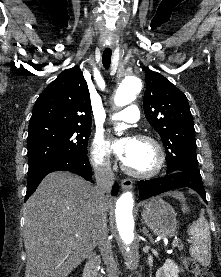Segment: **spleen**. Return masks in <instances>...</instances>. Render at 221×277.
<instances>
[{
    "mask_svg": "<svg viewBox=\"0 0 221 277\" xmlns=\"http://www.w3.org/2000/svg\"><path fill=\"white\" fill-rule=\"evenodd\" d=\"M191 236L190 255L203 266L211 261V237L208 222L203 214L188 229Z\"/></svg>",
    "mask_w": 221,
    "mask_h": 277,
    "instance_id": "1",
    "label": "spleen"
}]
</instances>
